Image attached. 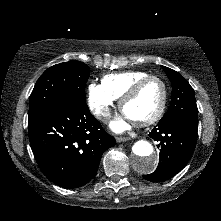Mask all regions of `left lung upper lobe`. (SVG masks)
Wrapping results in <instances>:
<instances>
[{"label": "left lung upper lobe", "instance_id": "5c2ea615", "mask_svg": "<svg viewBox=\"0 0 221 221\" xmlns=\"http://www.w3.org/2000/svg\"><path fill=\"white\" fill-rule=\"evenodd\" d=\"M163 68L172 84V96L170 107L160 121L180 120L198 130V109L193 88L178 72Z\"/></svg>", "mask_w": 221, "mask_h": 221}]
</instances>
